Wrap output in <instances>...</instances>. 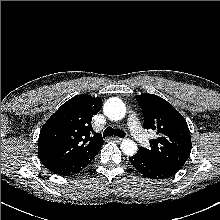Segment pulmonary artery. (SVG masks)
I'll use <instances>...</instances> for the list:
<instances>
[{
  "label": "pulmonary artery",
  "mask_w": 220,
  "mask_h": 220,
  "mask_svg": "<svg viewBox=\"0 0 220 220\" xmlns=\"http://www.w3.org/2000/svg\"><path fill=\"white\" fill-rule=\"evenodd\" d=\"M128 126H129V129L132 135L139 143L143 145H146L148 143L147 137L145 133L143 132L137 117L134 114L129 116Z\"/></svg>",
  "instance_id": "e3ab8cb5"
}]
</instances>
